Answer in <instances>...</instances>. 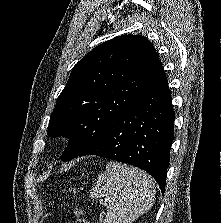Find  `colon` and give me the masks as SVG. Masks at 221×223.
I'll list each match as a JSON object with an SVG mask.
<instances>
[{"label": "colon", "instance_id": "5ec220e1", "mask_svg": "<svg viewBox=\"0 0 221 223\" xmlns=\"http://www.w3.org/2000/svg\"><path fill=\"white\" fill-rule=\"evenodd\" d=\"M86 211L84 209H78L76 211V220L75 223H89L86 217Z\"/></svg>", "mask_w": 221, "mask_h": 223}]
</instances>
